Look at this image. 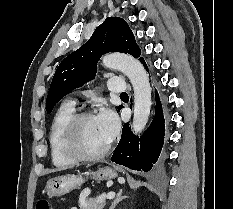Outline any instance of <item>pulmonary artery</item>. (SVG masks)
Listing matches in <instances>:
<instances>
[{"label":"pulmonary artery","mask_w":233,"mask_h":209,"mask_svg":"<svg viewBox=\"0 0 233 209\" xmlns=\"http://www.w3.org/2000/svg\"><path fill=\"white\" fill-rule=\"evenodd\" d=\"M108 88L115 93H123L126 90L123 80L116 76L110 77L108 79Z\"/></svg>","instance_id":"pulmonary-artery-1"}]
</instances>
